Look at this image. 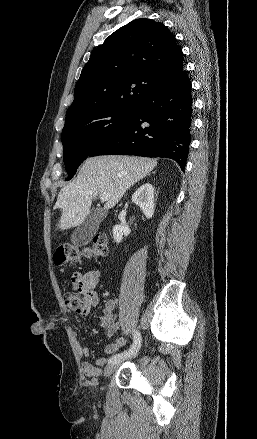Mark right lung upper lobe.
I'll return each instance as SVG.
<instances>
[{
    "label": "right lung upper lobe",
    "mask_w": 257,
    "mask_h": 439,
    "mask_svg": "<svg viewBox=\"0 0 257 439\" xmlns=\"http://www.w3.org/2000/svg\"><path fill=\"white\" fill-rule=\"evenodd\" d=\"M182 71V50L174 35L160 22L136 19L92 51L65 120L95 109L137 108Z\"/></svg>",
    "instance_id": "obj_1"
}]
</instances>
